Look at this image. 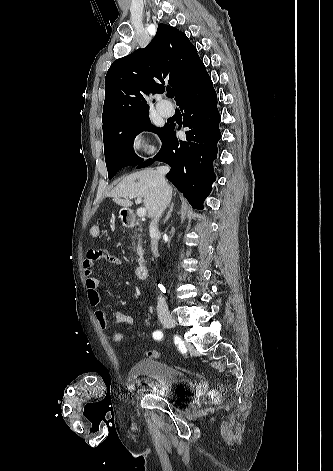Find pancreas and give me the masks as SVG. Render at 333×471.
<instances>
[{"instance_id":"pancreas-1","label":"pancreas","mask_w":333,"mask_h":471,"mask_svg":"<svg viewBox=\"0 0 333 471\" xmlns=\"http://www.w3.org/2000/svg\"><path fill=\"white\" fill-rule=\"evenodd\" d=\"M140 231V233H136L134 236H132V240H134L135 238L138 239V246H137V249L141 250L142 249V240H141V237H142V230L139 228L138 229ZM134 243V241H133Z\"/></svg>"}]
</instances>
